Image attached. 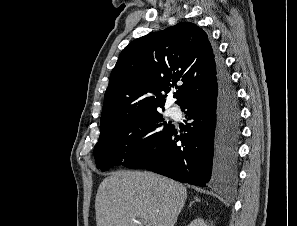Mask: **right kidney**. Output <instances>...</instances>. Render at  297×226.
I'll return each instance as SVG.
<instances>
[{
	"label": "right kidney",
	"mask_w": 297,
	"mask_h": 226,
	"mask_svg": "<svg viewBox=\"0 0 297 226\" xmlns=\"http://www.w3.org/2000/svg\"><path fill=\"white\" fill-rule=\"evenodd\" d=\"M188 226H207L205 221L201 218L193 220Z\"/></svg>",
	"instance_id": "1"
}]
</instances>
